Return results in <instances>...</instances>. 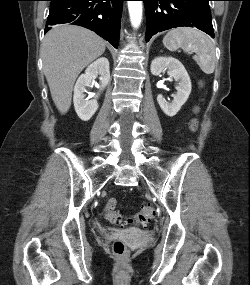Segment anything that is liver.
Masks as SVG:
<instances>
[{
    "label": "liver",
    "instance_id": "6515ba94",
    "mask_svg": "<svg viewBox=\"0 0 250 285\" xmlns=\"http://www.w3.org/2000/svg\"><path fill=\"white\" fill-rule=\"evenodd\" d=\"M105 47L106 42L94 32L74 25H57L46 34L41 48L43 69L61 114L71 106L76 78Z\"/></svg>",
    "mask_w": 250,
    "mask_h": 285
}]
</instances>
